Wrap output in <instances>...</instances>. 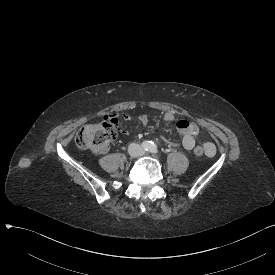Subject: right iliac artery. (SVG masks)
<instances>
[{
  "mask_svg": "<svg viewBox=\"0 0 275 275\" xmlns=\"http://www.w3.org/2000/svg\"><path fill=\"white\" fill-rule=\"evenodd\" d=\"M151 144H152L151 141H143L141 145H142V148L145 149V150L147 151V150L150 149Z\"/></svg>",
  "mask_w": 275,
  "mask_h": 275,
  "instance_id": "1",
  "label": "right iliac artery"
}]
</instances>
